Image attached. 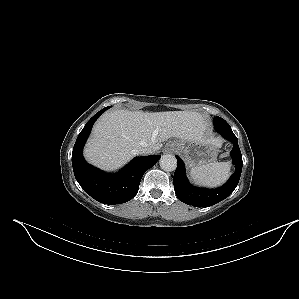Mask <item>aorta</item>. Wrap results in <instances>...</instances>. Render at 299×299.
<instances>
[{"label": "aorta", "mask_w": 299, "mask_h": 299, "mask_svg": "<svg viewBox=\"0 0 299 299\" xmlns=\"http://www.w3.org/2000/svg\"><path fill=\"white\" fill-rule=\"evenodd\" d=\"M160 167L167 172L174 171L177 167V159L174 155H163L160 159Z\"/></svg>", "instance_id": "obj_1"}]
</instances>
